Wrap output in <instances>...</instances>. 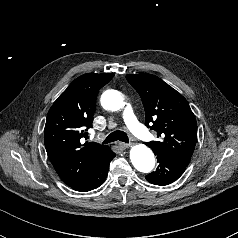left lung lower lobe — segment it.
Here are the masks:
<instances>
[{"mask_svg": "<svg viewBox=\"0 0 238 238\" xmlns=\"http://www.w3.org/2000/svg\"><path fill=\"white\" fill-rule=\"evenodd\" d=\"M158 167L155 172L145 178L155 185H168L177 180L185 171L189 161L183 158L172 157L166 154H156Z\"/></svg>", "mask_w": 238, "mask_h": 238, "instance_id": "left-lung-lower-lobe-1", "label": "left lung lower lobe"}]
</instances>
